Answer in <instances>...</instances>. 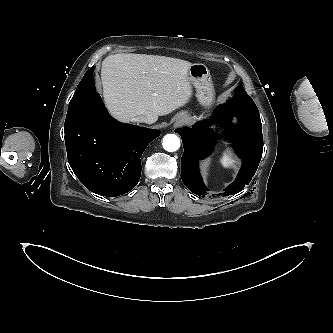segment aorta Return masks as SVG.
Segmentation results:
<instances>
[{"instance_id": "1", "label": "aorta", "mask_w": 333, "mask_h": 333, "mask_svg": "<svg viewBox=\"0 0 333 333\" xmlns=\"http://www.w3.org/2000/svg\"><path fill=\"white\" fill-rule=\"evenodd\" d=\"M162 145L166 151L174 152L180 147V139L175 134H167L163 138Z\"/></svg>"}]
</instances>
